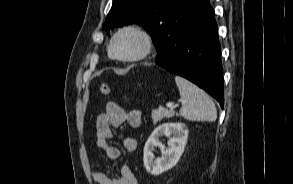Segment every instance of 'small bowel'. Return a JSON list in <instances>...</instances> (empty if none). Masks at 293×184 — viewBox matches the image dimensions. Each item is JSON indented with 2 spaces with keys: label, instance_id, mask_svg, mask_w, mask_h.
I'll list each match as a JSON object with an SVG mask.
<instances>
[{
  "label": "small bowel",
  "instance_id": "obj_1",
  "mask_svg": "<svg viewBox=\"0 0 293 184\" xmlns=\"http://www.w3.org/2000/svg\"><path fill=\"white\" fill-rule=\"evenodd\" d=\"M142 112L138 109L126 111L115 102H108L104 113L96 119V144L108 159L115 160L120 157V150L111 144L114 139V128L128 124L137 128L141 124ZM124 149L132 153L137 148V141L132 137H125L122 141ZM97 184H138V181L128 166H122L118 174L113 176L111 171L95 167L91 172Z\"/></svg>",
  "mask_w": 293,
  "mask_h": 184
}]
</instances>
